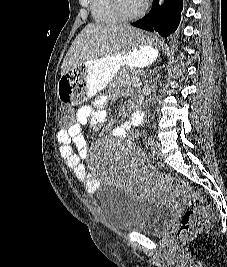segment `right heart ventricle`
Instances as JSON below:
<instances>
[{
    "label": "right heart ventricle",
    "mask_w": 227,
    "mask_h": 267,
    "mask_svg": "<svg viewBox=\"0 0 227 267\" xmlns=\"http://www.w3.org/2000/svg\"><path fill=\"white\" fill-rule=\"evenodd\" d=\"M91 12L96 22L101 24H115L120 22L112 6V0H90Z\"/></svg>",
    "instance_id": "obj_1"
}]
</instances>
